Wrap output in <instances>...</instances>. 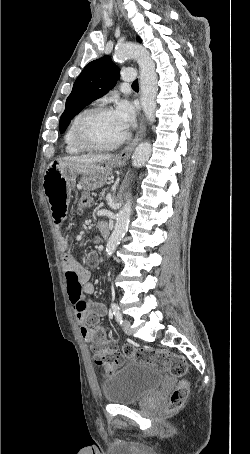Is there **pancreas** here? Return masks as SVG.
<instances>
[{
	"instance_id": "pancreas-1",
	"label": "pancreas",
	"mask_w": 250,
	"mask_h": 454,
	"mask_svg": "<svg viewBox=\"0 0 250 454\" xmlns=\"http://www.w3.org/2000/svg\"><path fill=\"white\" fill-rule=\"evenodd\" d=\"M105 190H106V189H104V190L100 193V198H101V199L104 198Z\"/></svg>"
}]
</instances>
